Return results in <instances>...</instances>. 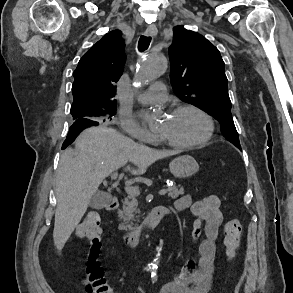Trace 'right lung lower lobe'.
Instances as JSON below:
<instances>
[{
	"mask_svg": "<svg viewBox=\"0 0 293 293\" xmlns=\"http://www.w3.org/2000/svg\"><path fill=\"white\" fill-rule=\"evenodd\" d=\"M98 124H99L98 121L88 119V118H81V119L75 120L69 129V133L67 135L66 140L64 141L62 145V149H65L68 145H70L83 129L90 126H96Z\"/></svg>",
	"mask_w": 293,
	"mask_h": 293,
	"instance_id": "98d812e1",
	"label": "right lung lower lobe"
}]
</instances>
